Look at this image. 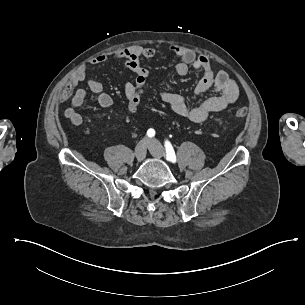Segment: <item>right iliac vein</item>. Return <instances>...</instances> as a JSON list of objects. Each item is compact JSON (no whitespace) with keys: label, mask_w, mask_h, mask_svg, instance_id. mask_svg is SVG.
Instances as JSON below:
<instances>
[{"label":"right iliac vein","mask_w":305,"mask_h":305,"mask_svg":"<svg viewBox=\"0 0 305 305\" xmlns=\"http://www.w3.org/2000/svg\"><path fill=\"white\" fill-rule=\"evenodd\" d=\"M135 156L138 161H142L146 156V140L142 139L135 147Z\"/></svg>","instance_id":"1"}]
</instances>
